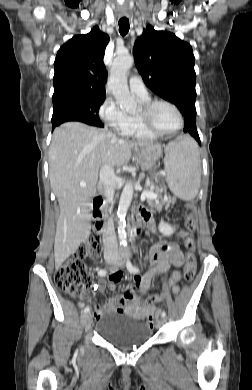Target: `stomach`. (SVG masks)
Returning <instances> with one entry per match:
<instances>
[{"instance_id":"0dacf381","label":"stomach","mask_w":252,"mask_h":390,"mask_svg":"<svg viewBox=\"0 0 252 390\" xmlns=\"http://www.w3.org/2000/svg\"><path fill=\"white\" fill-rule=\"evenodd\" d=\"M136 152L138 161L144 170L152 168L161 156V150L156 146L142 147Z\"/></svg>"}]
</instances>
